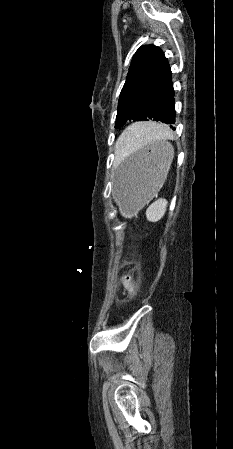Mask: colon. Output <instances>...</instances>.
<instances>
[{
    "label": "colon",
    "mask_w": 233,
    "mask_h": 449,
    "mask_svg": "<svg viewBox=\"0 0 233 449\" xmlns=\"http://www.w3.org/2000/svg\"><path fill=\"white\" fill-rule=\"evenodd\" d=\"M120 285L124 287L131 300H135L137 295V287L133 274H126L120 278Z\"/></svg>",
    "instance_id": "1"
}]
</instances>
